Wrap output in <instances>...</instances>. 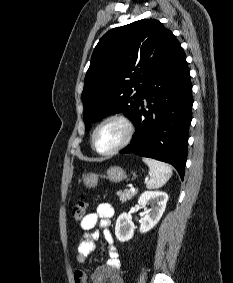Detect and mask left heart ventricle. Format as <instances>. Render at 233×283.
I'll return each instance as SVG.
<instances>
[{
	"label": "left heart ventricle",
	"mask_w": 233,
	"mask_h": 283,
	"mask_svg": "<svg viewBox=\"0 0 233 283\" xmlns=\"http://www.w3.org/2000/svg\"><path fill=\"white\" fill-rule=\"evenodd\" d=\"M125 129L119 122L112 121L103 125L95 137V145L99 151H109L123 139Z\"/></svg>",
	"instance_id": "left-heart-ventricle-1"
}]
</instances>
